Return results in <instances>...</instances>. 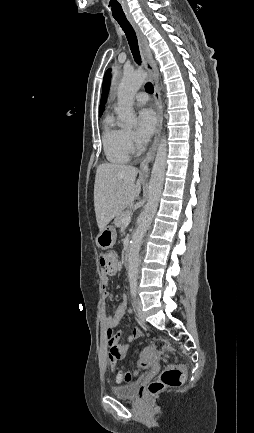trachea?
<instances>
[{"mask_svg": "<svg viewBox=\"0 0 254 433\" xmlns=\"http://www.w3.org/2000/svg\"><path fill=\"white\" fill-rule=\"evenodd\" d=\"M115 20L119 23V25L121 26L122 30L124 31V33L127 37V40H128L131 52L133 54V57L135 59V62L137 64H141V57H140V52H139V48H138L137 37H136V34H135L133 27L131 26V24L129 23L127 18H115ZM145 89L147 92H149L151 94L154 92L153 85L150 82L146 83Z\"/></svg>", "mask_w": 254, "mask_h": 433, "instance_id": "1", "label": "trachea"}]
</instances>
